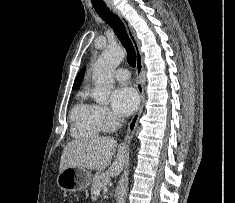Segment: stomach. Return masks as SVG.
<instances>
[{"label":"stomach","mask_w":235,"mask_h":203,"mask_svg":"<svg viewBox=\"0 0 235 203\" xmlns=\"http://www.w3.org/2000/svg\"><path fill=\"white\" fill-rule=\"evenodd\" d=\"M91 180V174L85 168L68 167L59 173L57 185L61 190L77 192L86 189Z\"/></svg>","instance_id":"1"}]
</instances>
